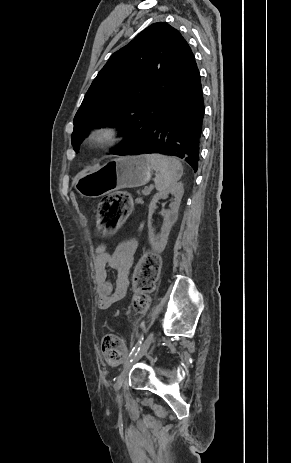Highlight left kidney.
Segmentation results:
<instances>
[{
	"instance_id": "5707ae66",
	"label": "left kidney",
	"mask_w": 291,
	"mask_h": 463,
	"mask_svg": "<svg viewBox=\"0 0 291 463\" xmlns=\"http://www.w3.org/2000/svg\"><path fill=\"white\" fill-rule=\"evenodd\" d=\"M169 194H172L174 199L169 206L170 209H162L161 215L164 216V222L161 227L160 235L155 236L154 228L152 227V215L157 208L158 201L167 198ZM183 194V184L177 183L164 191L156 193L149 204L148 237L152 249L158 253L163 252L167 245L170 230L178 218V210Z\"/></svg>"
}]
</instances>
